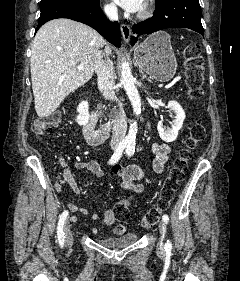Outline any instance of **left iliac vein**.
Wrapping results in <instances>:
<instances>
[{"mask_svg":"<svg viewBox=\"0 0 240 281\" xmlns=\"http://www.w3.org/2000/svg\"><path fill=\"white\" fill-rule=\"evenodd\" d=\"M158 227H159V231H160V234H161V239H160V241L158 243L157 250H158V252L162 253L164 251L163 239H164L165 233H166L165 222L164 221H160Z\"/></svg>","mask_w":240,"mask_h":281,"instance_id":"left-iliac-vein-1","label":"left iliac vein"}]
</instances>
